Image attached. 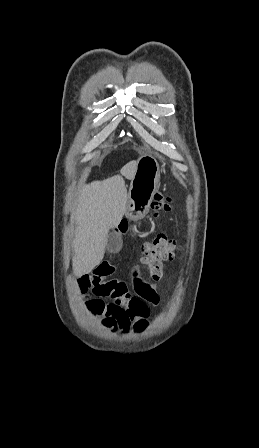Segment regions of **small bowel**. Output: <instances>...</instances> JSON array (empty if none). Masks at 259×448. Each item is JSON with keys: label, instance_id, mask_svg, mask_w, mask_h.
<instances>
[{"label": "small bowel", "instance_id": "1", "mask_svg": "<svg viewBox=\"0 0 259 448\" xmlns=\"http://www.w3.org/2000/svg\"><path fill=\"white\" fill-rule=\"evenodd\" d=\"M127 222H122L116 229L117 235L133 232ZM115 266L108 260L102 261L90 274L77 282L80 294L85 295V307L89 314L100 319L101 324L113 331L144 330L149 324L151 307L159 303V296L154 287L136 279L131 289L126 282L110 279ZM91 291L99 297H109L110 303L101 298H92Z\"/></svg>", "mask_w": 259, "mask_h": 448}]
</instances>
